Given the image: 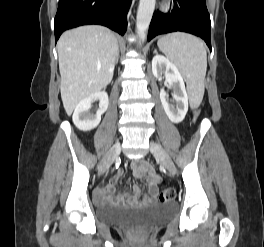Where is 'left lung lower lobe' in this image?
<instances>
[{
	"label": "left lung lower lobe",
	"instance_id": "left-lung-lower-lobe-1",
	"mask_svg": "<svg viewBox=\"0 0 264 247\" xmlns=\"http://www.w3.org/2000/svg\"><path fill=\"white\" fill-rule=\"evenodd\" d=\"M173 1L171 12H154L148 41L160 34L182 31L201 37L211 49V22L206 0Z\"/></svg>",
	"mask_w": 264,
	"mask_h": 247
}]
</instances>
